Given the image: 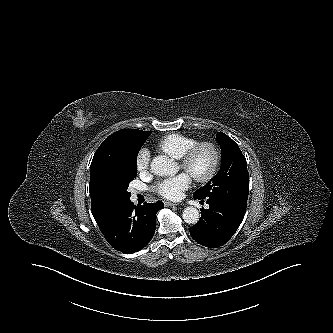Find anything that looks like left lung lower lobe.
Returning a JSON list of instances; mask_svg holds the SVG:
<instances>
[{
    "instance_id": "1",
    "label": "left lung lower lobe",
    "mask_w": 333,
    "mask_h": 333,
    "mask_svg": "<svg viewBox=\"0 0 333 333\" xmlns=\"http://www.w3.org/2000/svg\"><path fill=\"white\" fill-rule=\"evenodd\" d=\"M194 199L199 198L194 197ZM206 200L209 209L201 210L200 220L189 228V232L199 244L217 248L228 242L236 232L244 218L246 208L216 198H206Z\"/></svg>"
}]
</instances>
